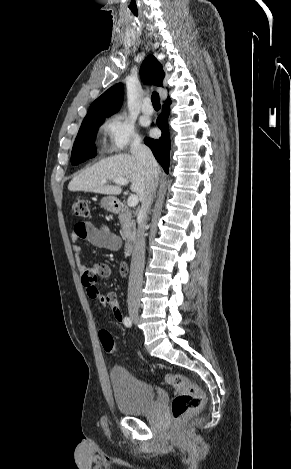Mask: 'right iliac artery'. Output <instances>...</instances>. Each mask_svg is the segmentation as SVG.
I'll list each match as a JSON object with an SVG mask.
<instances>
[{"instance_id": "right-iliac-artery-1", "label": "right iliac artery", "mask_w": 291, "mask_h": 469, "mask_svg": "<svg viewBox=\"0 0 291 469\" xmlns=\"http://www.w3.org/2000/svg\"><path fill=\"white\" fill-rule=\"evenodd\" d=\"M124 325L126 327H131L132 326V320L129 317L124 318Z\"/></svg>"}]
</instances>
